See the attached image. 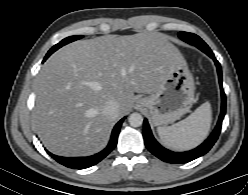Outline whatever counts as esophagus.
<instances>
[{
    "mask_svg": "<svg viewBox=\"0 0 248 195\" xmlns=\"http://www.w3.org/2000/svg\"><path fill=\"white\" fill-rule=\"evenodd\" d=\"M141 106V102H137L136 104V108L140 107Z\"/></svg>",
    "mask_w": 248,
    "mask_h": 195,
    "instance_id": "esophagus-1",
    "label": "esophagus"
}]
</instances>
